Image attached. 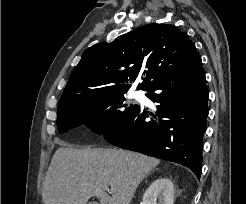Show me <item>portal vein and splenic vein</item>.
I'll return each instance as SVG.
<instances>
[{
	"mask_svg": "<svg viewBox=\"0 0 246 204\" xmlns=\"http://www.w3.org/2000/svg\"><path fill=\"white\" fill-rule=\"evenodd\" d=\"M103 188H104L105 190H107V191H109V190H110V188H109V186H108V185H105Z\"/></svg>",
	"mask_w": 246,
	"mask_h": 204,
	"instance_id": "18ae733b",
	"label": "portal vein and splenic vein"
}]
</instances>
